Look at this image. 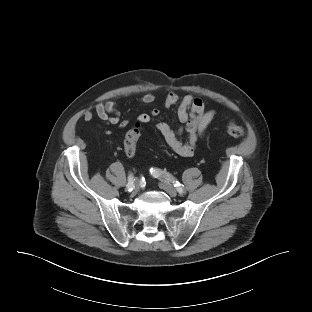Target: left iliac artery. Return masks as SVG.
Here are the masks:
<instances>
[{
    "mask_svg": "<svg viewBox=\"0 0 312 312\" xmlns=\"http://www.w3.org/2000/svg\"><path fill=\"white\" fill-rule=\"evenodd\" d=\"M150 172L153 176L157 177L159 176L161 173H165L162 171H159L158 169H150ZM167 177L171 178L173 180L174 186L177 188L179 193H183L184 192V186L182 184H180L177 180H174V178H172V176L169 173H165Z\"/></svg>",
    "mask_w": 312,
    "mask_h": 312,
    "instance_id": "44dca946",
    "label": "left iliac artery"
}]
</instances>
